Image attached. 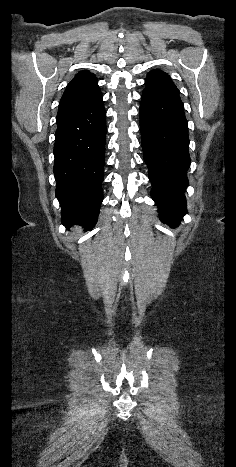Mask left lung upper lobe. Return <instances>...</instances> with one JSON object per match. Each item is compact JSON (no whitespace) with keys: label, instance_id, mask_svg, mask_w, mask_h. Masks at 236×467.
Returning <instances> with one entry per match:
<instances>
[{"label":"left lung upper lobe","instance_id":"5c2ea615","mask_svg":"<svg viewBox=\"0 0 236 467\" xmlns=\"http://www.w3.org/2000/svg\"><path fill=\"white\" fill-rule=\"evenodd\" d=\"M145 89L157 93H168L179 95V90L171 80L170 76L161 70H152L145 79Z\"/></svg>","mask_w":236,"mask_h":467}]
</instances>
